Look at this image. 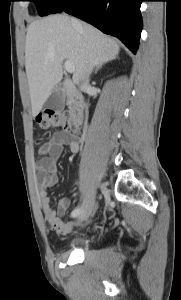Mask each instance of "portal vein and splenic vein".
<instances>
[{"label":"portal vein and splenic vein","instance_id":"18ae733b","mask_svg":"<svg viewBox=\"0 0 181 300\" xmlns=\"http://www.w3.org/2000/svg\"><path fill=\"white\" fill-rule=\"evenodd\" d=\"M64 68L66 69V71L68 73H74V71H75V67H74L73 63L70 61H65Z\"/></svg>","mask_w":181,"mask_h":300}]
</instances>
